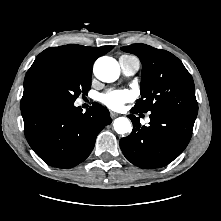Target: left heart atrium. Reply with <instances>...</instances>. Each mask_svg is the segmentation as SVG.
Instances as JSON below:
<instances>
[{"mask_svg":"<svg viewBox=\"0 0 221 221\" xmlns=\"http://www.w3.org/2000/svg\"><path fill=\"white\" fill-rule=\"evenodd\" d=\"M134 93L128 89L110 90L100 96V101L109 109L122 110L128 102L133 101Z\"/></svg>","mask_w":221,"mask_h":221,"instance_id":"1","label":"left heart atrium"}]
</instances>
